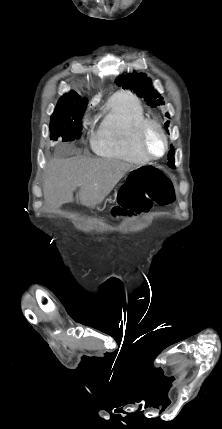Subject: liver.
<instances>
[{
	"label": "liver",
	"instance_id": "1",
	"mask_svg": "<svg viewBox=\"0 0 222 429\" xmlns=\"http://www.w3.org/2000/svg\"><path fill=\"white\" fill-rule=\"evenodd\" d=\"M135 169L132 164L110 158L72 157L49 162L44 179V200L51 210L73 202L80 187V203L95 207L102 203L121 178Z\"/></svg>",
	"mask_w": 222,
	"mask_h": 429
}]
</instances>
